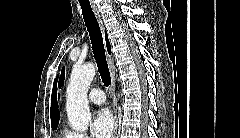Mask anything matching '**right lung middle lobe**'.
I'll use <instances>...</instances> for the list:
<instances>
[{"label": "right lung middle lobe", "mask_w": 240, "mask_h": 138, "mask_svg": "<svg viewBox=\"0 0 240 138\" xmlns=\"http://www.w3.org/2000/svg\"><path fill=\"white\" fill-rule=\"evenodd\" d=\"M56 128H57V125L52 126V129H56Z\"/></svg>", "instance_id": "obj_1"}]
</instances>
